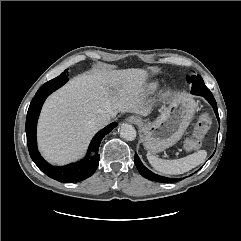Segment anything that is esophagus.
I'll list each match as a JSON object with an SVG mask.
<instances>
[{
  "instance_id": "esophagus-1",
  "label": "esophagus",
  "mask_w": 241,
  "mask_h": 241,
  "mask_svg": "<svg viewBox=\"0 0 241 241\" xmlns=\"http://www.w3.org/2000/svg\"><path fill=\"white\" fill-rule=\"evenodd\" d=\"M126 121L130 124H137L138 118L136 116H129Z\"/></svg>"
}]
</instances>
